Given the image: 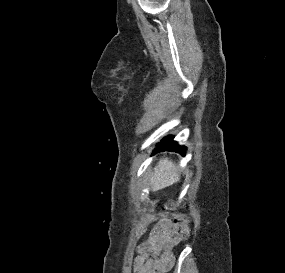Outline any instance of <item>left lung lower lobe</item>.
Returning <instances> with one entry per match:
<instances>
[{
    "instance_id": "left-lung-lower-lobe-1",
    "label": "left lung lower lobe",
    "mask_w": 285,
    "mask_h": 273,
    "mask_svg": "<svg viewBox=\"0 0 285 273\" xmlns=\"http://www.w3.org/2000/svg\"><path fill=\"white\" fill-rule=\"evenodd\" d=\"M173 136L169 135L161 140L157 144V147L154 151V153L159 152V151H164V150H169V151H175L178 152L182 155H185V147L177 145L175 141H173Z\"/></svg>"
}]
</instances>
